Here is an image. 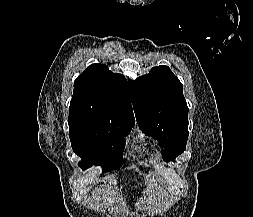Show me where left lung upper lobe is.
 I'll use <instances>...</instances> for the list:
<instances>
[{
    "mask_svg": "<svg viewBox=\"0 0 253 217\" xmlns=\"http://www.w3.org/2000/svg\"><path fill=\"white\" fill-rule=\"evenodd\" d=\"M130 87L139 128L164 147L165 161L173 160L185 150L189 135L182 83L162 65L130 81Z\"/></svg>",
    "mask_w": 253,
    "mask_h": 217,
    "instance_id": "obj_1",
    "label": "left lung upper lobe"
}]
</instances>
